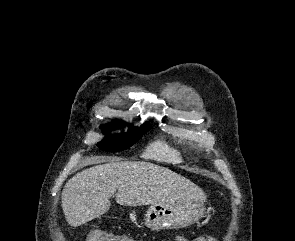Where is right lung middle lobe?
Returning a JSON list of instances; mask_svg holds the SVG:
<instances>
[{
    "label": "right lung middle lobe",
    "mask_w": 295,
    "mask_h": 241,
    "mask_svg": "<svg viewBox=\"0 0 295 241\" xmlns=\"http://www.w3.org/2000/svg\"><path fill=\"white\" fill-rule=\"evenodd\" d=\"M125 123L115 121L112 124H108L104 127V133H108L111 129L117 127H124ZM151 127L145 123L141 128H130L126 134H120L115 136H109L103 141L97 144V146L105 151L116 152L131 147L136 141H138L143 134H145Z\"/></svg>",
    "instance_id": "1"
}]
</instances>
